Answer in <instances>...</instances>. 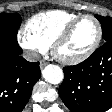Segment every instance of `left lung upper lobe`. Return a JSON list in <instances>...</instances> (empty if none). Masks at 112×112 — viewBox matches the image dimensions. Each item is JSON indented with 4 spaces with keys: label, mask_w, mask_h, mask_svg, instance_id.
<instances>
[{
    "label": "left lung upper lobe",
    "mask_w": 112,
    "mask_h": 112,
    "mask_svg": "<svg viewBox=\"0 0 112 112\" xmlns=\"http://www.w3.org/2000/svg\"><path fill=\"white\" fill-rule=\"evenodd\" d=\"M102 25V37L105 42L112 41V18L104 17L101 15H95Z\"/></svg>",
    "instance_id": "5c2ea615"
}]
</instances>
